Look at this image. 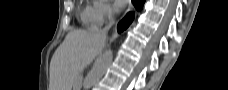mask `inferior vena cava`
<instances>
[{
  "mask_svg": "<svg viewBox=\"0 0 228 90\" xmlns=\"http://www.w3.org/2000/svg\"><path fill=\"white\" fill-rule=\"evenodd\" d=\"M108 19H109V24L106 25L103 29L96 31L99 33L101 36L106 37L108 30L110 29L111 25L114 23V11L109 10L108 12Z\"/></svg>",
  "mask_w": 228,
  "mask_h": 90,
  "instance_id": "602c4592",
  "label": "inferior vena cava"
}]
</instances>
